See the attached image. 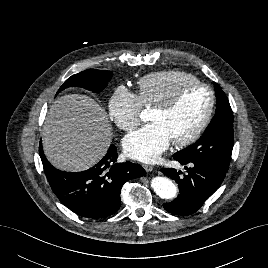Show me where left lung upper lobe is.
Masks as SVG:
<instances>
[{"instance_id":"1","label":"left lung upper lobe","mask_w":268,"mask_h":268,"mask_svg":"<svg viewBox=\"0 0 268 268\" xmlns=\"http://www.w3.org/2000/svg\"><path fill=\"white\" fill-rule=\"evenodd\" d=\"M216 114L203 135L191 146L174 154L183 162H203L228 170L233 144V113L229 101L220 86L214 84Z\"/></svg>"}]
</instances>
